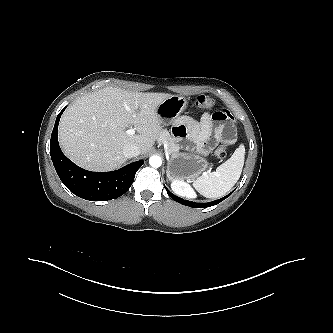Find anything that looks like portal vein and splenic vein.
Here are the masks:
<instances>
[{
    "label": "portal vein and splenic vein",
    "mask_w": 333,
    "mask_h": 333,
    "mask_svg": "<svg viewBox=\"0 0 333 333\" xmlns=\"http://www.w3.org/2000/svg\"><path fill=\"white\" fill-rule=\"evenodd\" d=\"M126 133H127L128 135H134V134L136 133V131H135L134 128H130V129L126 130Z\"/></svg>",
    "instance_id": "portal-vein-and-splenic-vein-1"
}]
</instances>
